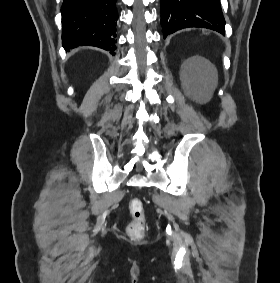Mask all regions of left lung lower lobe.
I'll list each match as a JSON object with an SVG mask.
<instances>
[{
	"label": "left lung lower lobe",
	"instance_id": "1",
	"mask_svg": "<svg viewBox=\"0 0 280 283\" xmlns=\"http://www.w3.org/2000/svg\"><path fill=\"white\" fill-rule=\"evenodd\" d=\"M164 36L183 28L202 27L225 32L220 0H160Z\"/></svg>",
	"mask_w": 280,
	"mask_h": 283
}]
</instances>
